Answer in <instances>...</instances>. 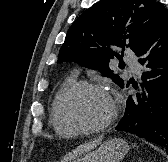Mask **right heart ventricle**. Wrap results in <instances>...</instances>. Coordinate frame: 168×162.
I'll return each instance as SVG.
<instances>
[{
	"mask_svg": "<svg viewBox=\"0 0 168 162\" xmlns=\"http://www.w3.org/2000/svg\"><path fill=\"white\" fill-rule=\"evenodd\" d=\"M77 83L75 74L67 76L58 86L50 106V121L54 131L60 136H73L78 133L77 130L68 126L60 117L58 105L63 93L72 85Z\"/></svg>",
	"mask_w": 168,
	"mask_h": 162,
	"instance_id": "e07e8e85",
	"label": "right heart ventricle"
}]
</instances>
